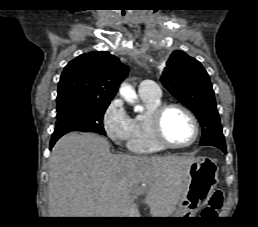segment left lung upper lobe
Segmentation results:
<instances>
[{"mask_svg": "<svg viewBox=\"0 0 258 227\" xmlns=\"http://www.w3.org/2000/svg\"><path fill=\"white\" fill-rule=\"evenodd\" d=\"M160 78L164 87L198 118L202 126L200 145L225 146L214 91L200 62L174 51Z\"/></svg>", "mask_w": 258, "mask_h": 227, "instance_id": "left-lung-upper-lobe-1", "label": "left lung upper lobe"}]
</instances>
